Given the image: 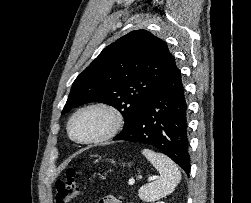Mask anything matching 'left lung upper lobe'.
<instances>
[{
  "label": "left lung upper lobe",
  "instance_id": "left-lung-upper-lobe-1",
  "mask_svg": "<svg viewBox=\"0 0 251 203\" xmlns=\"http://www.w3.org/2000/svg\"><path fill=\"white\" fill-rule=\"evenodd\" d=\"M173 60L166 43L135 30L107 46L76 78L62 114L89 102L115 107L127 130Z\"/></svg>",
  "mask_w": 251,
  "mask_h": 203
}]
</instances>
